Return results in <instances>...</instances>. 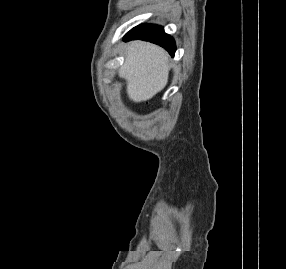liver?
I'll return each instance as SVG.
<instances>
[{
    "label": "liver",
    "mask_w": 286,
    "mask_h": 269,
    "mask_svg": "<svg viewBox=\"0 0 286 269\" xmlns=\"http://www.w3.org/2000/svg\"><path fill=\"white\" fill-rule=\"evenodd\" d=\"M119 76L127 81V94L134 102L151 99L167 84L168 55L160 47L142 41L128 43Z\"/></svg>",
    "instance_id": "liver-1"
}]
</instances>
